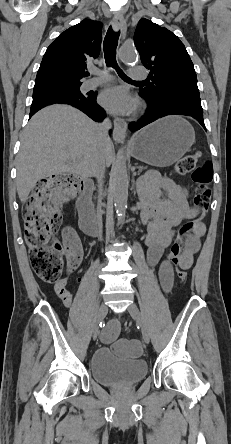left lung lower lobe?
<instances>
[{"label": "left lung lower lobe", "instance_id": "obj_1", "mask_svg": "<svg viewBox=\"0 0 231 444\" xmlns=\"http://www.w3.org/2000/svg\"><path fill=\"white\" fill-rule=\"evenodd\" d=\"M149 107L144 117L137 122L129 124L131 132H135L153 121L167 115H188L195 118L204 129L203 109L200 105L187 102H179L173 105L156 106L148 101Z\"/></svg>", "mask_w": 231, "mask_h": 444}]
</instances>
